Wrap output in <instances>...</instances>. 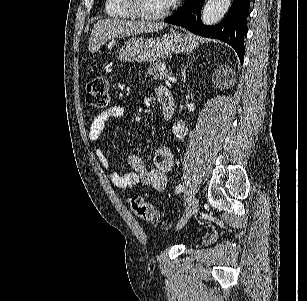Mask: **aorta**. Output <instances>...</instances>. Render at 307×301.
Returning <instances> with one entry per match:
<instances>
[{
  "instance_id": "obj_1",
  "label": "aorta",
  "mask_w": 307,
  "mask_h": 301,
  "mask_svg": "<svg viewBox=\"0 0 307 301\" xmlns=\"http://www.w3.org/2000/svg\"><path fill=\"white\" fill-rule=\"evenodd\" d=\"M231 0H207L201 14L204 24H216L224 14H226ZM174 134L183 138L186 134L187 126L184 120H177L172 126Z\"/></svg>"
}]
</instances>
